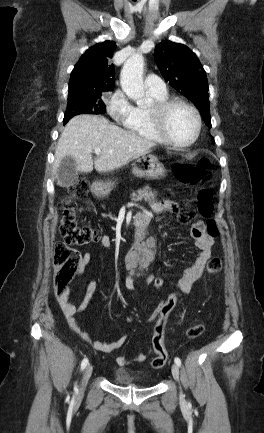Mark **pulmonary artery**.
I'll return each instance as SVG.
<instances>
[{
  "label": "pulmonary artery",
  "mask_w": 264,
  "mask_h": 433,
  "mask_svg": "<svg viewBox=\"0 0 264 433\" xmlns=\"http://www.w3.org/2000/svg\"><path fill=\"white\" fill-rule=\"evenodd\" d=\"M145 86L147 90L154 94H165L167 93V88L165 82L156 75H148L145 78Z\"/></svg>",
  "instance_id": "obj_1"
}]
</instances>
